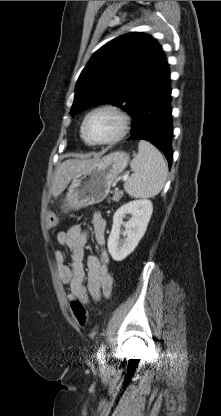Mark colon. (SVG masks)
<instances>
[{
    "mask_svg": "<svg viewBox=\"0 0 221 416\" xmlns=\"http://www.w3.org/2000/svg\"><path fill=\"white\" fill-rule=\"evenodd\" d=\"M59 218L56 214L52 213L49 214L47 219V224L49 228H54L58 225ZM71 310L72 313L77 321V323L84 327L88 323V312L86 307L83 305V303L79 300H73L71 302Z\"/></svg>",
    "mask_w": 221,
    "mask_h": 416,
    "instance_id": "5ec220e1",
    "label": "colon"
}]
</instances>
